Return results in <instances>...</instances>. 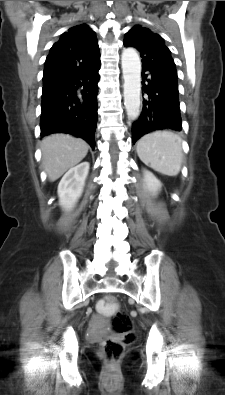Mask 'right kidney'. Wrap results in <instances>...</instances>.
<instances>
[{"label": "right kidney", "instance_id": "obj_1", "mask_svg": "<svg viewBox=\"0 0 225 395\" xmlns=\"http://www.w3.org/2000/svg\"><path fill=\"white\" fill-rule=\"evenodd\" d=\"M88 172L89 163L83 162L63 176L58 185L59 204L62 208L70 210L77 203L82 195Z\"/></svg>", "mask_w": 225, "mask_h": 395}]
</instances>
